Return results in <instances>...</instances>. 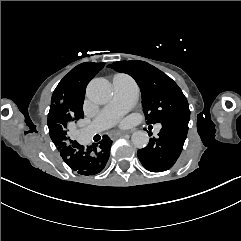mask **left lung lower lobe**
<instances>
[{"label":"left lung lower lobe","instance_id":"0a47b994","mask_svg":"<svg viewBox=\"0 0 241 241\" xmlns=\"http://www.w3.org/2000/svg\"><path fill=\"white\" fill-rule=\"evenodd\" d=\"M189 119L181 118L161 123L159 137L151 138L145 148L138 150V158L147 170L162 172L175 164L183 149Z\"/></svg>","mask_w":241,"mask_h":241}]
</instances>
